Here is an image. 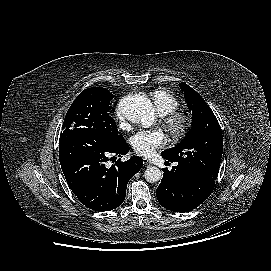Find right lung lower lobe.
I'll list each match as a JSON object with an SVG mask.
<instances>
[{
    "instance_id": "1",
    "label": "right lung lower lobe",
    "mask_w": 271,
    "mask_h": 271,
    "mask_svg": "<svg viewBox=\"0 0 271 271\" xmlns=\"http://www.w3.org/2000/svg\"><path fill=\"white\" fill-rule=\"evenodd\" d=\"M128 151L124 139L110 147L98 142L59 143L65 179L83 205L95 211H109L123 203L128 181L141 169L143 160L135 156L125 162L117 161L111 167L106 162L110 155L120 157Z\"/></svg>"
}]
</instances>
